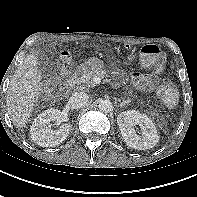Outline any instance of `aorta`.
<instances>
[{"label":"aorta","instance_id":"762f6f07","mask_svg":"<svg viewBox=\"0 0 197 197\" xmlns=\"http://www.w3.org/2000/svg\"><path fill=\"white\" fill-rule=\"evenodd\" d=\"M98 107H99V110L104 113H109L113 109L112 102L107 99L100 101Z\"/></svg>","mask_w":197,"mask_h":197}]
</instances>
